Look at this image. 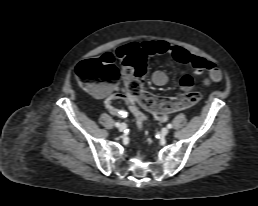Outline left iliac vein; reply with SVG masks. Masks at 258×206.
Returning a JSON list of instances; mask_svg holds the SVG:
<instances>
[{
	"label": "left iliac vein",
	"instance_id": "1",
	"mask_svg": "<svg viewBox=\"0 0 258 206\" xmlns=\"http://www.w3.org/2000/svg\"><path fill=\"white\" fill-rule=\"evenodd\" d=\"M168 133H169L168 128H163V129L161 130V134H162L163 136H166Z\"/></svg>",
	"mask_w": 258,
	"mask_h": 206
}]
</instances>
